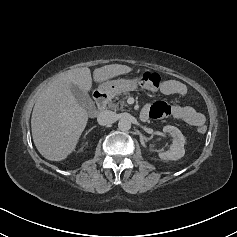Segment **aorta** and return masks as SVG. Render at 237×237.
I'll return each mask as SVG.
<instances>
[{
    "label": "aorta",
    "instance_id": "1",
    "mask_svg": "<svg viewBox=\"0 0 237 237\" xmlns=\"http://www.w3.org/2000/svg\"><path fill=\"white\" fill-rule=\"evenodd\" d=\"M118 128L121 131H128L131 128V121L128 118H121L118 122Z\"/></svg>",
    "mask_w": 237,
    "mask_h": 237
}]
</instances>
